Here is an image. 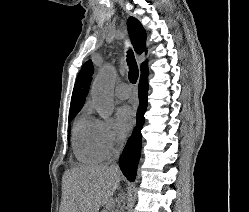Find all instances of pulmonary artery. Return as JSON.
<instances>
[{
    "mask_svg": "<svg viewBox=\"0 0 249 212\" xmlns=\"http://www.w3.org/2000/svg\"><path fill=\"white\" fill-rule=\"evenodd\" d=\"M115 95L122 99H128L131 96V89L127 83H120L115 88Z\"/></svg>",
    "mask_w": 249,
    "mask_h": 212,
    "instance_id": "1",
    "label": "pulmonary artery"
}]
</instances>
